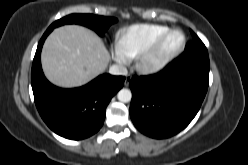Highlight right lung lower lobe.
<instances>
[{"label":"right lung lower lobe","instance_id":"obj_1","mask_svg":"<svg viewBox=\"0 0 248 165\" xmlns=\"http://www.w3.org/2000/svg\"><path fill=\"white\" fill-rule=\"evenodd\" d=\"M53 29L39 41L31 71L36 107L47 126L67 139L79 140L95 134L103 125L106 107L123 87L125 77L103 74L85 86L61 89L45 78L40 62L43 43Z\"/></svg>","mask_w":248,"mask_h":165}]
</instances>
